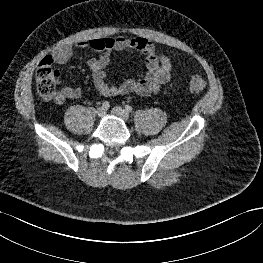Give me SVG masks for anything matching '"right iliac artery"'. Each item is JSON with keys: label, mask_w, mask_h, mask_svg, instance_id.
Wrapping results in <instances>:
<instances>
[{"label": "right iliac artery", "mask_w": 263, "mask_h": 263, "mask_svg": "<svg viewBox=\"0 0 263 263\" xmlns=\"http://www.w3.org/2000/svg\"><path fill=\"white\" fill-rule=\"evenodd\" d=\"M102 107H104L105 109H108L110 107V103L108 101H105L102 103Z\"/></svg>", "instance_id": "82829eb1"}]
</instances>
